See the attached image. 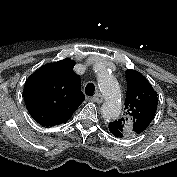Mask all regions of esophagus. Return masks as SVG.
<instances>
[{"label":"esophagus","mask_w":177,"mask_h":177,"mask_svg":"<svg viewBox=\"0 0 177 177\" xmlns=\"http://www.w3.org/2000/svg\"><path fill=\"white\" fill-rule=\"evenodd\" d=\"M91 101L96 103H102L103 102V96L100 93H97L91 98Z\"/></svg>","instance_id":"esophagus-1"}]
</instances>
